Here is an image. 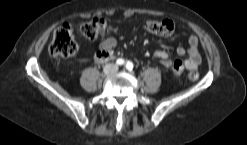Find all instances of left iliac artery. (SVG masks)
Masks as SVG:
<instances>
[{
	"label": "left iliac artery",
	"instance_id": "left-iliac-artery-1",
	"mask_svg": "<svg viewBox=\"0 0 247 145\" xmlns=\"http://www.w3.org/2000/svg\"><path fill=\"white\" fill-rule=\"evenodd\" d=\"M126 68H127L129 71H131V70L133 69V63L130 62V61H128V62L126 63Z\"/></svg>",
	"mask_w": 247,
	"mask_h": 145
}]
</instances>
